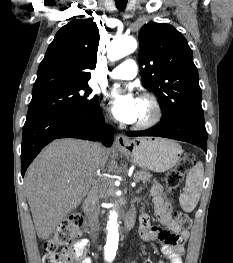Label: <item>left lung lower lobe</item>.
Returning <instances> with one entry per match:
<instances>
[{"label": "left lung lower lobe", "mask_w": 233, "mask_h": 263, "mask_svg": "<svg viewBox=\"0 0 233 263\" xmlns=\"http://www.w3.org/2000/svg\"><path fill=\"white\" fill-rule=\"evenodd\" d=\"M128 136H159L192 143L207 152L204 116H179L161 120L145 131L127 132Z\"/></svg>", "instance_id": "left-lung-lower-lobe-1"}]
</instances>
